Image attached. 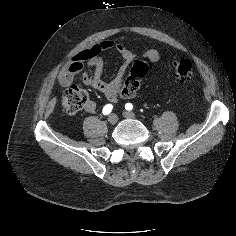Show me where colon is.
Segmentation results:
<instances>
[{
  "instance_id": "5ec220e1",
  "label": "colon",
  "mask_w": 236,
  "mask_h": 236,
  "mask_svg": "<svg viewBox=\"0 0 236 236\" xmlns=\"http://www.w3.org/2000/svg\"><path fill=\"white\" fill-rule=\"evenodd\" d=\"M173 70L176 77L181 82H187L192 78L193 67L189 59L183 58L173 63ZM148 73V65L143 60H135L130 69L128 77L125 79L122 93L138 90L141 81ZM137 92V91H136ZM89 102L88 93L77 85H69L62 97V105L65 112L74 115L82 110Z\"/></svg>"
}]
</instances>
